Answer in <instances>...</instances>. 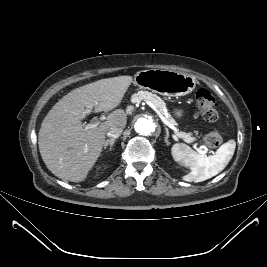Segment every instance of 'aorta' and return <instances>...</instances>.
Wrapping results in <instances>:
<instances>
[{"label":"aorta","instance_id":"obj_1","mask_svg":"<svg viewBox=\"0 0 267 267\" xmlns=\"http://www.w3.org/2000/svg\"><path fill=\"white\" fill-rule=\"evenodd\" d=\"M135 130L141 135L147 136L155 131V124L146 117H140L135 123Z\"/></svg>","mask_w":267,"mask_h":267}]
</instances>
